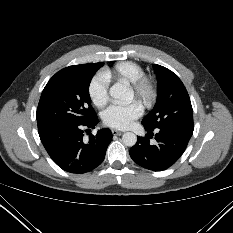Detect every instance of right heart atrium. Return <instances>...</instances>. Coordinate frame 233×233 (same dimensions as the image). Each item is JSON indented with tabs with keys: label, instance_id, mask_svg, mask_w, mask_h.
<instances>
[{
	"label": "right heart atrium",
	"instance_id": "1",
	"mask_svg": "<svg viewBox=\"0 0 233 233\" xmlns=\"http://www.w3.org/2000/svg\"><path fill=\"white\" fill-rule=\"evenodd\" d=\"M88 95L92 103L98 108H103L109 102V80L102 72L90 80Z\"/></svg>",
	"mask_w": 233,
	"mask_h": 233
}]
</instances>
